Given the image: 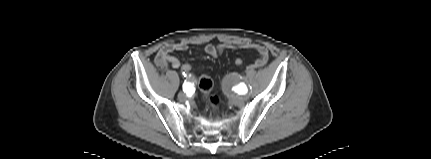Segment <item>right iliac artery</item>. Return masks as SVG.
Instances as JSON below:
<instances>
[{
	"label": "right iliac artery",
	"instance_id": "obj_1",
	"mask_svg": "<svg viewBox=\"0 0 431 159\" xmlns=\"http://www.w3.org/2000/svg\"><path fill=\"white\" fill-rule=\"evenodd\" d=\"M194 87L190 82H185L183 84V91L186 92L187 94L192 93Z\"/></svg>",
	"mask_w": 431,
	"mask_h": 159
}]
</instances>
